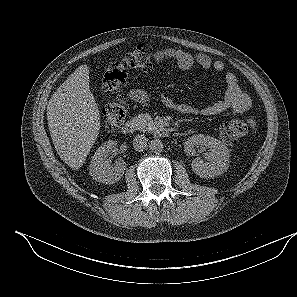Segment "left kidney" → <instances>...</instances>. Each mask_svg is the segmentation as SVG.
I'll return each mask as SVG.
<instances>
[{
  "instance_id": "1",
  "label": "left kidney",
  "mask_w": 297,
  "mask_h": 297,
  "mask_svg": "<svg viewBox=\"0 0 297 297\" xmlns=\"http://www.w3.org/2000/svg\"><path fill=\"white\" fill-rule=\"evenodd\" d=\"M196 146H205L206 162L199 157L192 161L191 167L196 175L201 178H214L223 174L229 167V149L216 138L203 134L189 137L184 143V151L187 155H195Z\"/></svg>"
}]
</instances>
